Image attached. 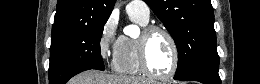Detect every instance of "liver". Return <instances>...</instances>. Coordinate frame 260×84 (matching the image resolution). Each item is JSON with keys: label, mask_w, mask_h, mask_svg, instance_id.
<instances>
[{"label": "liver", "mask_w": 260, "mask_h": 84, "mask_svg": "<svg viewBox=\"0 0 260 84\" xmlns=\"http://www.w3.org/2000/svg\"><path fill=\"white\" fill-rule=\"evenodd\" d=\"M73 84H150L140 77L113 76L95 70L80 73L73 79Z\"/></svg>", "instance_id": "6515ba94"}]
</instances>
